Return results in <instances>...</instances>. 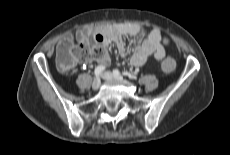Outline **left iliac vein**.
<instances>
[{"label":"left iliac vein","instance_id":"obj_1","mask_svg":"<svg viewBox=\"0 0 230 155\" xmlns=\"http://www.w3.org/2000/svg\"><path fill=\"white\" fill-rule=\"evenodd\" d=\"M103 79L111 81V80H121L122 77H116L111 72H104L102 75Z\"/></svg>","mask_w":230,"mask_h":155}]
</instances>
